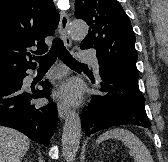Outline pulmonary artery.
<instances>
[{
	"mask_svg": "<svg viewBox=\"0 0 168 162\" xmlns=\"http://www.w3.org/2000/svg\"><path fill=\"white\" fill-rule=\"evenodd\" d=\"M80 60L91 63L93 67L95 68V70L97 72L99 71V62L94 56L87 54V53H81Z\"/></svg>",
	"mask_w": 168,
	"mask_h": 162,
	"instance_id": "pulmonary-artery-1",
	"label": "pulmonary artery"
}]
</instances>
